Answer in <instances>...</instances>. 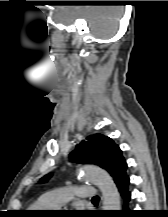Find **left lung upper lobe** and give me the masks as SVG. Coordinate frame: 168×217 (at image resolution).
<instances>
[{
	"instance_id": "obj_1",
	"label": "left lung upper lobe",
	"mask_w": 168,
	"mask_h": 217,
	"mask_svg": "<svg viewBox=\"0 0 168 217\" xmlns=\"http://www.w3.org/2000/svg\"><path fill=\"white\" fill-rule=\"evenodd\" d=\"M70 159L76 163L96 164L106 169L113 177L115 183L124 174L127 164L120 148L115 142L102 134H94L82 140L70 153ZM51 174L43 177L40 182H45Z\"/></svg>"
}]
</instances>
